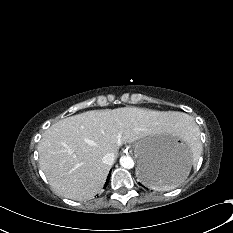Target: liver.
<instances>
[{
    "mask_svg": "<svg viewBox=\"0 0 233 233\" xmlns=\"http://www.w3.org/2000/svg\"><path fill=\"white\" fill-rule=\"evenodd\" d=\"M186 115L136 107L92 110L62 119L42 135L39 164L50 186L66 198L84 200L103 187L110 166L102 159L116 155L123 143L165 134Z\"/></svg>",
    "mask_w": 233,
    "mask_h": 233,
    "instance_id": "1",
    "label": "liver"
}]
</instances>
